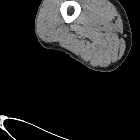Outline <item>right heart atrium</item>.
Wrapping results in <instances>:
<instances>
[{
  "instance_id": "obj_1",
  "label": "right heart atrium",
  "mask_w": 140,
  "mask_h": 140,
  "mask_svg": "<svg viewBox=\"0 0 140 140\" xmlns=\"http://www.w3.org/2000/svg\"><path fill=\"white\" fill-rule=\"evenodd\" d=\"M42 8L41 7L37 13V16H36V21H35V29H36V33L39 37H41L42 39H45V35L42 31V28H41V25H40V18H41V11H42Z\"/></svg>"
}]
</instances>
